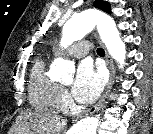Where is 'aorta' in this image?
<instances>
[{"instance_id":"1","label":"aorta","mask_w":153,"mask_h":134,"mask_svg":"<svg viewBox=\"0 0 153 134\" xmlns=\"http://www.w3.org/2000/svg\"><path fill=\"white\" fill-rule=\"evenodd\" d=\"M97 28L109 54L123 67L126 46L120 38L115 22L108 16L96 11L86 10L75 14L63 27L61 46L66 48L74 41ZM53 73L63 82L73 81L74 65L62 58H57L51 65ZM98 118L89 117L79 121L72 129V134H97Z\"/></svg>"}]
</instances>
